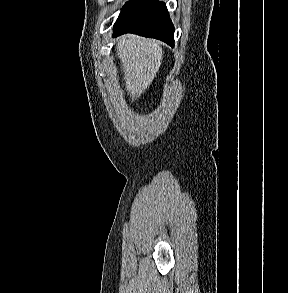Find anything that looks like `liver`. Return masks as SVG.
Masks as SVG:
<instances>
[{"label":"liver","mask_w":288,"mask_h":293,"mask_svg":"<svg viewBox=\"0 0 288 293\" xmlns=\"http://www.w3.org/2000/svg\"><path fill=\"white\" fill-rule=\"evenodd\" d=\"M116 50L124 71L126 91L133 101L149 88L159 72L163 59L161 42L123 35Z\"/></svg>","instance_id":"6515ba94"}]
</instances>
